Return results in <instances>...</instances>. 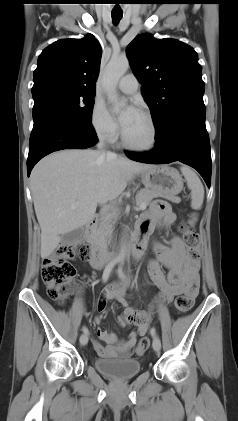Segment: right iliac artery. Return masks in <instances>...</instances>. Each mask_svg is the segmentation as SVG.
I'll list each match as a JSON object with an SVG mask.
<instances>
[{"label":"right iliac artery","instance_id":"right-iliac-artery-1","mask_svg":"<svg viewBox=\"0 0 238 421\" xmlns=\"http://www.w3.org/2000/svg\"><path fill=\"white\" fill-rule=\"evenodd\" d=\"M116 263H117V261H113L105 268V270L103 272V276H102V279H103L104 282H106L108 280L109 275H110V273H111V271H112V269H113V267ZM83 332L86 333V334L89 333V331L86 327H83Z\"/></svg>","mask_w":238,"mask_h":421}]
</instances>
